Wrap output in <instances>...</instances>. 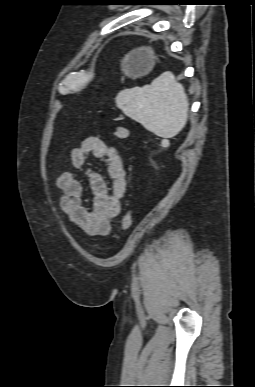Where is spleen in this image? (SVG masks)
Masks as SVG:
<instances>
[{
  "label": "spleen",
  "instance_id": "obj_1",
  "mask_svg": "<svg viewBox=\"0 0 255 387\" xmlns=\"http://www.w3.org/2000/svg\"><path fill=\"white\" fill-rule=\"evenodd\" d=\"M115 102L126 116L163 138L177 135L188 118V97L171 72L162 73L150 85L120 91Z\"/></svg>",
  "mask_w": 255,
  "mask_h": 387
}]
</instances>
